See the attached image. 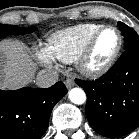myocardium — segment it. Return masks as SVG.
<instances>
[{
  "label": "myocardium",
  "instance_id": "myocardium-1",
  "mask_svg": "<svg viewBox=\"0 0 139 139\" xmlns=\"http://www.w3.org/2000/svg\"><path fill=\"white\" fill-rule=\"evenodd\" d=\"M114 30L118 36V44L111 57L102 65L93 67L89 60L92 55L95 43L99 36L106 30ZM123 47V36L121 31L113 25H104L99 28L88 40L84 49L76 60L77 69L81 74L89 78H98L108 73L117 62Z\"/></svg>",
  "mask_w": 139,
  "mask_h": 139
}]
</instances>
